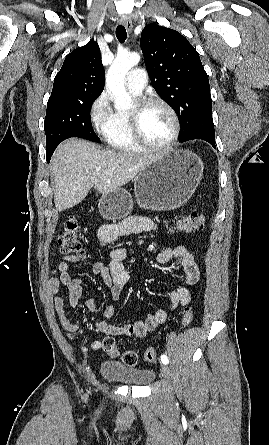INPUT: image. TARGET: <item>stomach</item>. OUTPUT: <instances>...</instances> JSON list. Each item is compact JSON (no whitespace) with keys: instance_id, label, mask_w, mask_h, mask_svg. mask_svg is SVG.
I'll list each match as a JSON object with an SVG mask.
<instances>
[{"instance_id":"1","label":"stomach","mask_w":269,"mask_h":445,"mask_svg":"<svg viewBox=\"0 0 269 445\" xmlns=\"http://www.w3.org/2000/svg\"><path fill=\"white\" fill-rule=\"evenodd\" d=\"M201 159L189 150H170L156 157L134 179L138 205L151 211L180 208L191 198L203 175ZM98 208L106 220L127 217L133 208L131 194L118 188L102 194Z\"/></svg>"}]
</instances>
